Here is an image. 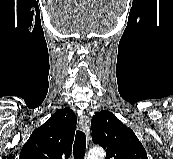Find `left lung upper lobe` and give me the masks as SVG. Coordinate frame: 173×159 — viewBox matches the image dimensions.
Returning <instances> with one entry per match:
<instances>
[{
	"label": "left lung upper lobe",
	"mask_w": 173,
	"mask_h": 159,
	"mask_svg": "<svg viewBox=\"0 0 173 159\" xmlns=\"http://www.w3.org/2000/svg\"><path fill=\"white\" fill-rule=\"evenodd\" d=\"M92 140L106 150L105 159H148L135 133L109 111L97 112L91 120Z\"/></svg>",
	"instance_id": "5c2ea615"
}]
</instances>
